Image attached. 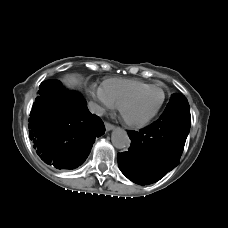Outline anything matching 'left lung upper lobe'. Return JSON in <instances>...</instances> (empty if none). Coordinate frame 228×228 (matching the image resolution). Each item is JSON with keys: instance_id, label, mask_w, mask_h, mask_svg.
I'll list each match as a JSON object with an SVG mask.
<instances>
[{"instance_id": "1", "label": "left lung upper lobe", "mask_w": 228, "mask_h": 228, "mask_svg": "<svg viewBox=\"0 0 228 228\" xmlns=\"http://www.w3.org/2000/svg\"><path fill=\"white\" fill-rule=\"evenodd\" d=\"M161 116L180 119H185V117L190 118V107L187 98L180 93L173 94Z\"/></svg>"}]
</instances>
